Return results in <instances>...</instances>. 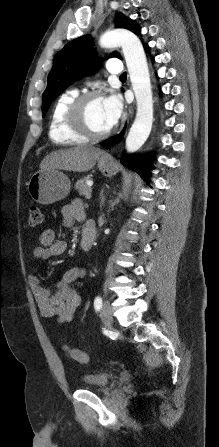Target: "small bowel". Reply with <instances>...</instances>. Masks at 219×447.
<instances>
[{
	"mask_svg": "<svg viewBox=\"0 0 219 447\" xmlns=\"http://www.w3.org/2000/svg\"><path fill=\"white\" fill-rule=\"evenodd\" d=\"M64 227H70L75 221L84 218V209L81 201H74L61 210ZM53 231H43L39 237L40 246L34 250L37 259H50L65 253L67 243L55 240ZM85 270L81 266H75L67 270L53 288H46L40 284L37 275L28 277V285L33 293L40 314L44 318L56 317L61 323L73 319L76 309L82 303L81 294L72 287V284L84 277Z\"/></svg>",
	"mask_w": 219,
	"mask_h": 447,
	"instance_id": "1",
	"label": "small bowel"
}]
</instances>
